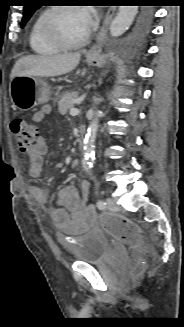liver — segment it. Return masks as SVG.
I'll use <instances>...</instances> for the list:
<instances>
[{"label": "liver", "mask_w": 184, "mask_h": 327, "mask_svg": "<svg viewBox=\"0 0 184 327\" xmlns=\"http://www.w3.org/2000/svg\"><path fill=\"white\" fill-rule=\"evenodd\" d=\"M81 54L65 53L54 56L28 55L18 59L11 71V80L18 75L54 77L74 70Z\"/></svg>", "instance_id": "obj_1"}]
</instances>
